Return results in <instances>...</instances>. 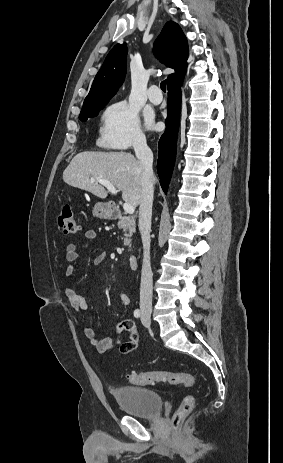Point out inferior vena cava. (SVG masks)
<instances>
[{"mask_svg": "<svg viewBox=\"0 0 283 463\" xmlns=\"http://www.w3.org/2000/svg\"><path fill=\"white\" fill-rule=\"evenodd\" d=\"M133 148L142 169L141 199L139 207V231L143 243V264L140 284V309L152 311L153 280L150 263V230L152 204L154 193L153 153L148 147L146 139L139 137L134 140Z\"/></svg>", "mask_w": 283, "mask_h": 463, "instance_id": "1", "label": "inferior vena cava"}]
</instances>
